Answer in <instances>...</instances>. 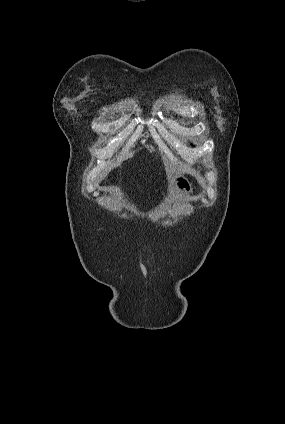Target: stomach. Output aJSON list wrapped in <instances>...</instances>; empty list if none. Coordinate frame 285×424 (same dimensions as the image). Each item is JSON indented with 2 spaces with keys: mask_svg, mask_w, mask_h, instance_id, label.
<instances>
[{
  "mask_svg": "<svg viewBox=\"0 0 285 424\" xmlns=\"http://www.w3.org/2000/svg\"><path fill=\"white\" fill-rule=\"evenodd\" d=\"M192 185L189 180L181 174H174L168 185V192L170 195L187 197L192 193Z\"/></svg>",
  "mask_w": 285,
  "mask_h": 424,
  "instance_id": "1",
  "label": "stomach"
}]
</instances>
